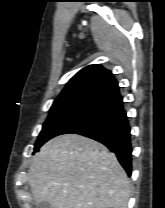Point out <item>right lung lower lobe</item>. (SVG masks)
<instances>
[{
	"mask_svg": "<svg viewBox=\"0 0 165 208\" xmlns=\"http://www.w3.org/2000/svg\"><path fill=\"white\" fill-rule=\"evenodd\" d=\"M67 133L80 134L104 144L116 154L127 174L131 176L130 127L123 108V99L119 93L95 105L88 114L61 134Z\"/></svg>",
	"mask_w": 165,
	"mask_h": 208,
	"instance_id": "1",
	"label": "right lung lower lobe"
}]
</instances>
